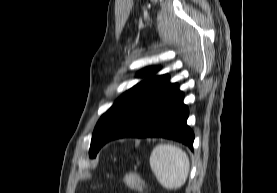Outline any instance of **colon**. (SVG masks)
<instances>
[{"label": "colon", "instance_id": "1", "mask_svg": "<svg viewBox=\"0 0 277 193\" xmlns=\"http://www.w3.org/2000/svg\"><path fill=\"white\" fill-rule=\"evenodd\" d=\"M123 185L138 193H150V190L143 178L136 172H126L120 178Z\"/></svg>", "mask_w": 277, "mask_h": 193}]
</instances>
